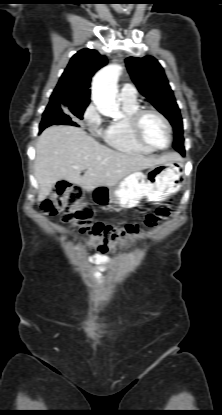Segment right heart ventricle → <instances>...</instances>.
I'll use <instances>...</instances> for the list:
<instances>
[{
	"mask_svg": "<svg viewBox=\"0 0 222 415\" xmlns=\"http://www.w3.org/2000/svg\"><path fill=\"white\" fill-rule=\"evenodd\" d=\"M123 117L113 120L102 132V139L110 147L125 153L147 155L153 150L141 145L135 138L130 124L132 114L139 109V104L134 100H122Z\"/></svg>",
	"mask_w": 222,
	"mask_h": 415,
	"instance_id": "e07e8e85",
	"label": "right heart ventricle"
}]
</instances>
